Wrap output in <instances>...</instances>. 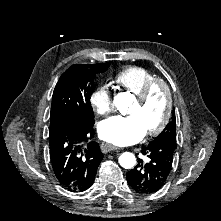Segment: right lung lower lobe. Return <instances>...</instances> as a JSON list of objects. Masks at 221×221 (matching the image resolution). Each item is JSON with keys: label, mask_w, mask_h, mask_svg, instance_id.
Listing matches in <instances>:
<instances>
[{"label": "right lung lower lobe", "mask_w": 221, "mask_h": 221, "mask_svg": "<svg viewBox=\"0 0 221 221\" xmlns=\"http://www.w3.org/2000/svg\"><path fill=\"white\" fill-rule=\"evenodd\" d=\"M93 125L64 122L49 130L52 167L60 184L69 191L87 190L103 159L98 143L88 142L94 137Z\"/></svg>", "instance_id": "98d812e1"}]
</instances>
